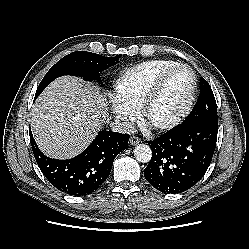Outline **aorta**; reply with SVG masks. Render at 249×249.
Here are the masks:
<instances>
[{"instance_id":"1","label":"aorta","mask_w":249,"mask_h":249,"mask_svg":"<svg viewBox=\"0 0 249 249\" xmlns=\"http://www.w3.org/2000/svg\"><path fill=\"white\" fill-rule=\"evenodd\" d=\"M134 157L138 162L147 163L152 158V150L146 144H138L134 149Z\"/></svg>"}]
</instances>
